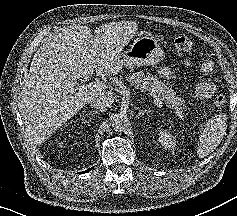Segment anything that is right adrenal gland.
Returning <instances> with one entry per match:
<instances>
[{"label":"right adrenal gland","instance_id":"1","mask_svg":"<svg viewBox=\"0 0 237 216\" xmlns=\"http://www.w3.org/2000/svg\"><path fill=\"white\" fill-rule=\"evenodd\" d=\"M98 114L97 111H91L88 115H85L84 117H88L91 116L92 118L94 117V115Z\"/></svg>","mask_w":237,"mask_h":216}]
</instances>
